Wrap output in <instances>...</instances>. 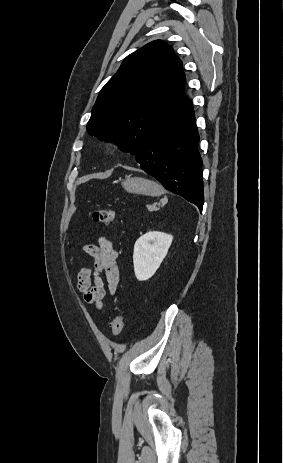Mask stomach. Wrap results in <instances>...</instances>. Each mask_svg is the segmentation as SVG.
I'll use <instances>...</instances> for the list:
<instances>
[{
	"instance_id": "0dacf381",
	"label": "stomach",
	"mask_w": 283,
	"mask_h": 463,
	"mask_svg": "<svg viewBox=\"0 0 283 463\" xmlns=\"http://www.w3.org/2000/svg\"><path fill=\"white\" fill-rule=\"evenodd\" d=\"M122 186L127 192L134 194L159 196L163 192L158 183L140 177H127L122 181Z\"/></svg>"
}]
</instances>
